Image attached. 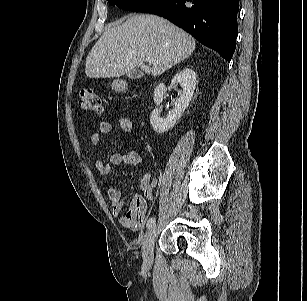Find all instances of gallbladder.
<instances>
[{
  "label": "gallbladder",
  "instance_id": "bac80fb5",
  "mask_svg": "<svg viewBox=\"0 0 307 301\" xmlns=\"http://www.w3.org/2000/svg\"><path fill=\"white\" fill-rule=\"evenodd\" d=\"M142 75H143V73L141 71H137V70L131 71L127 74V76L130 79H137V78H140Z\"/></svg>",
  "mask_w": 307,
  "mask_h": 301
}]
</instances>
